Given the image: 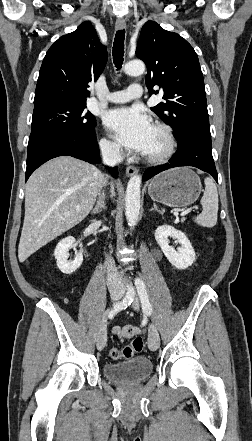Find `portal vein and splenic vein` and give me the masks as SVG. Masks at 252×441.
<instances>
[{
  "label": "portal vein and splenic vein",
  "instance_id": "18ae733b",
  "mask_svg": "<svg viewBox=\"0 0 252 441\" xmlns=\"http://www.w3.org/2000/svg\"><path fill=\"white\" fill-rule=\"evenodd\" d=\"M195 209H198V207H195ZM191 212V208L186 209L185 211H183L180 216L181 217H185L187 214H189Z\"/></svg>",
  "mask_w": 252,
  "mask_h": 441
}]
</instances>
